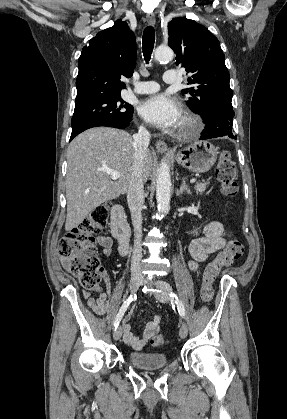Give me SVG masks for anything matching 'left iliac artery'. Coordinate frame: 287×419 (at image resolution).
Segmentation results:
<instances>
[{"mask_svg":"<svg viewBox=\"0 0 287 419\" xmlns=\"http://www.w3.org/2000/svg\"><path fill=\"white\" fill-rule=\"evenodd\" d=\"M170 297H171L172 301L175 302V304L177 305L178 312H179L180 316L184 317L185 309H184L183 302L178 298V296L176 294H174L172 292L170 294Z\"/></svg>","mask_w":287,"mask_h":419,"instance_id":"left-iliac-artery-1","label":"left iliac artery"}]
</instances>
